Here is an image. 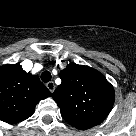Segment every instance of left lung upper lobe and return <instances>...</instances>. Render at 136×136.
Masks as SVG:
<instances>
[{
	"instance_id": "1",
	"label": "left lung upper lobe",
	"mask_w": 136,
	"mask_h": 136,
	"mask_svg": "<svg viewBox=\"0 0 136 136\" xmlns=\"http://www.w3.org/2000/svg\"><path fill=\"white\" fill-rule=\"evenodd\" d=\"M62 83L53 93L63 118L78 129H88L111 111L113 86L97 70L75 63L60 72Z\"/></svg>"
}]
</instances>
